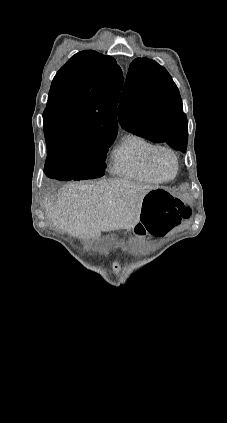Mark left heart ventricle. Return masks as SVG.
Segmentation results:
<instances>
[{
  "label": "left heart ventricle",
  "mask_w": 227,
  "mask_h": 423,
  "mask_svg": "<svg viewBox=\"0 0 227 423\" xmlns=\"http://www.w3.org/2000/svg\"><path fill=\"white\" fill-rule=\"evenodd\" d=\"M155 165L160 174L165 178H171L175 173V163L171 155L165 151H159L155 155Z\"/></svg>",
  "instance_id": "1"
}]
</instances>
